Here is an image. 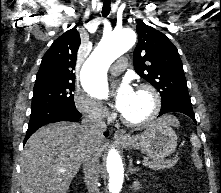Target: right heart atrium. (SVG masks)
<instances>
[{"label":"right heart atrium","mask_w":221,"mask_h":193,"mask_svg":"<svg viewBox=\"0 0 221 193\" xmlns=\"http://www.w3.org/2000/svg\"><path fill=\"white\" fill-rule=\"evenodd\" d=\"M73 103L84 116L94 121H106L110 118L109 111L94 98L83 92H76Z\"/></svg>","instance_id":"obj_1"}]
</instances>
